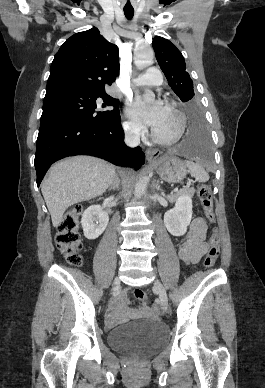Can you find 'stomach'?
<instances>
[{
  "label": "stomach",
  "mask_w": 265,
  "mask_h": 388,
  "mask_svg": "<svg viewBox=\"0 0 265 388\" xmlns=\"http://www.w3.org/2000/svg\"><path fill=\"white\" fill-rule=\"evenodd\" d=\"M159 176L166 182H181L187 175L186 165L179 158L166 155L153 161Z\"/></svg>",
  "instance_id": "stomach-1"
}]
</instances>
